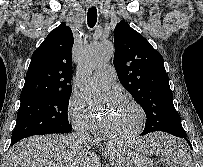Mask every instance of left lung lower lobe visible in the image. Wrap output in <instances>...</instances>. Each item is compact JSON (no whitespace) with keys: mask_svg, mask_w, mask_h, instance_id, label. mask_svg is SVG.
<instances>
[{"mask_svg":"<svg viewBox=\"0 0 203 167\" xmlns=\"http://www.w3.org/2000/svg\"><path fill=\"white\" fill-rule=\"evenodd\" d=\"M144 133H142V135H143ZM172 135H174V136H176V137H180V138H183V139H185L187 142H188V144L190 145V142H189V140L186 138V135H184L183 133H175V134H172ZM191 146V145H190ZM192 147V146H191Z\"/></svg>","mask_w":203,"mask_h":167,"instance_id":"1","label":"left lung lower lobe"}]
</instances>
